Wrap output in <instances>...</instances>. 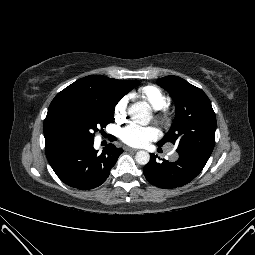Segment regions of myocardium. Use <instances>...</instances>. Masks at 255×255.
I'll return each instance as SVG.
<instances>
[{"label":"myocardium","instance_id":"obj_1","mask_svg":"<svg viewBox=\"0 0 255 255\" xmlns=\"http://www.w3.org/2000/svg\"><path fill=\"white\" fill-rule=\"evenodd\" d=\"M160 119H161L162 121H167V120H168V118H167L166 116H160Z\"/></svg>","mask_w":255,"mask_h":255}]
</instances>
